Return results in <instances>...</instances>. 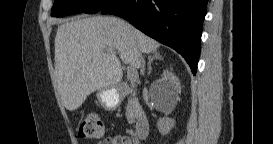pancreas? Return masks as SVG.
Wrapping results in <instances>:
<instances>
[{"mask_svg": "<svg viewBox=\"0 0 273 144\" xmlns=\"http://www.w3.org/2000/svg\"><path fill=\"white\" fill-rule=\"evenodd\" d=\"M137 117L136 107L134 105L133 100H129L126 107V118L129 124H133L135 122V118Z\"/></svg>", "mask_w": 273, "mask_h": 144, "instance_id": "obj_1", "label": "pancreas"}]
</instances>
